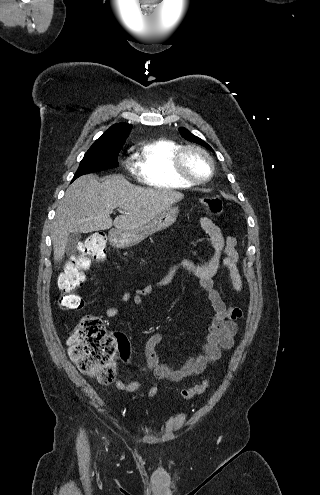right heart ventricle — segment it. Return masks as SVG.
I'll use <instances>...</instances> for the list:
<instances>
[{
  "instance_id": "obj_1",
  "label": "right heart ventricle",
  "mask_w": 320,
  "mask_h": 495,
  "mask_svg": "<svg viewBox=\"0 0 320 495\" xmlns=\"http://www.w3.org/2000/svg\"><path fill=\"white\" fill-rule=\"evenodd\" d=\"M180 145L158 138L143 143L134 155V167L140 180L151 187L180 189L192 186L178 177L173 169V157Z\"/></svg>"
}]
</instances>
